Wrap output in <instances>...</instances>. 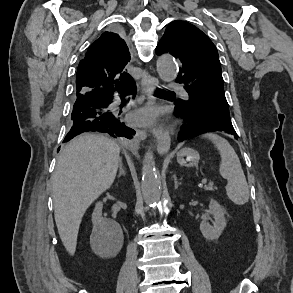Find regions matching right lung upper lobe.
Segmentation results:
<instances>
[{
	"label": "right lung upper lobe",
	"mask_w": 293,
	"mask_h": 293,
	"mask_svg": "<svg viewBox=\"0 0 293 293\" xmlns=\"http://www.w3.org/2000/svg\"><path fill=\"white\" fill-rule=\"evenodd\" d=\"M130 53L124 40L115 32H104L80 61L76 76V91L98 89L121 90L133 79L124 71Z\"/></svg>",
	"instance_id": "cb5924a9"
}]
</instances>
